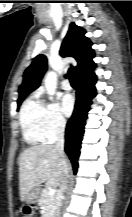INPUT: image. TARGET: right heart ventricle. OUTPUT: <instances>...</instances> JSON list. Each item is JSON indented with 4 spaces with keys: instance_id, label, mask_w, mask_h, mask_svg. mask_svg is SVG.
Masks as SVG:
<instances>
[{
    "instance_id": "e07e8e85",
    "label": "right heart ventricle",
    "mask_w": 132,
    "mask_h": 217,
    "mask_svg": "<svg viewBox=\"0 0 132 217\" xmlns=\"http://www.w3.org/2000/svg\"><path fill=\"white\" fill-rule=\"evenodd\" d=\"M44 105L34 98H28L22 105L20 124L25 142L36 146L46 141L43 134Z\"/></svg>"
}]
</instances>
